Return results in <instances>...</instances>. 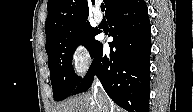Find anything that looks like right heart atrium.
<instances>
[{"instance_id":"right-heart-atrium-1","label":"right heart atrium","mask_w":193,"mask_h":112,"mask_svg":"<svg viewBox=\"0 0 193 112\" xmlns=\"http://www.w3.org/2000/svg\"><path fill=\"white\" fill-rule=\"evenodd\" d=\"M70 62L76 74L83 75L88 71L92 59L88 44L84 39H78L72 44Z\"/></svg>"}]
</instances>
